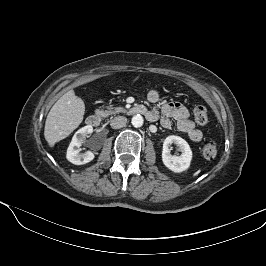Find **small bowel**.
Returning a JSON list of instances; mask_svg holds the SVG:
<instances>
[{"label":"small bowel","mask_w":266,"mask_h":266,"mask_svg":"<svg viewBox=\"0 0 266 266\" xmlns=\"http://www.w3.org/2000/svg\"><path fill=\"white\" fill-rule=\"evenodd\" d=\"M147 98L151 103H157L160 100V93L151 90ZM146 118L150 121H159L164 128L170 127L173 118L177 122L178 130L186 133L192 141L199 142L203 137L202 132L195 127L190 119L187 108L181 103L169 102L158 109L147 110Z\"/></svg>","instance_id":"small-bowel-1"}]
</instances>
